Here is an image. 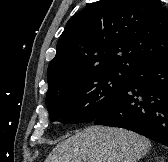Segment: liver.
<instances>
[{"label": "liver", "instance_id": "1", "mask_svg": "<svg viewBox=\"0 0 168 162\" xmlns=\"http://www.w3.org/2000/svg\"><path fill=\"white\" fill-rule=\"evenodd\" d=\"M151 142L126 129L92 126L60 142L44 162H136Z\"/></svg>", "mask_w": 168, "mask_h": 162}]
</instances>
